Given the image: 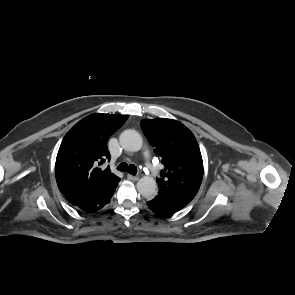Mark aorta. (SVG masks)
<instances>
[{
    "label": "aorta",
    "instance_id": "1",
    "mask_svg": "<svg viewBox=\"0 0 295 295\" xmlns=\"http://www.w3.org/2000/svg\"><path fill=\"white\" fill-rule=\"evenodd\" d=\"M121 147L129 152H137L142 148L141 135L133 129H127L120 134ZM138 192L146 199L151 200L156 195V181L150 176H144L137 182Z\"/></svg>",
    "mask_w": 295,
    "mask_h": 295
}]
</instances>
